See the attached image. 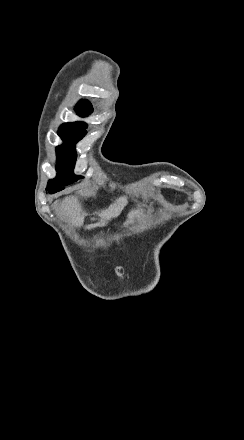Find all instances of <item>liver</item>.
I'll return each instance as SVG.
<instances>
[{"mask_svg": "<svg viewBox=\"0 0 244 440\" xmlns=\"http://www.w3.org/2000/svg\"><path fill=\"white\" fill-rule=\"evenodd\" d=\"M128 200L127 198H118L115 204H111L107 210H102L100 214H98L100 218V222L97 224H90V226H86L87 230H91V228H96V226H106L111 218H117L120 216L123 208L127 206ZM61 212L62 216H68L70 218V222L72 226H76V228H80L84 222V212L81 210L80 204H78L75 198H65L64 202L61 204ZM82 212V214H81Z\"/></svg>", "mask_w": 244, "mask_h": 440, "instance_id": "obj_1", "label": "liver"}]
</instances>
